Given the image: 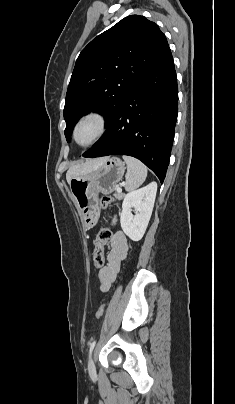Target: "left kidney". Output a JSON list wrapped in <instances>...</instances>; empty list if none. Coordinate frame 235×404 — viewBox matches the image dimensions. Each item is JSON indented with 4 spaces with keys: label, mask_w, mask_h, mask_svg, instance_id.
<instances>
[{
    "label": "left kidney",
    "mask_w": 235,
    "mask_h": 404,
    "mask_svg": "<svg viewBox=\"0 0 235 404\" xmlns=\"http://www.w3.org/2000/svg\"><path fill=\"white\" fill-rule=\"evenodd\" d=\"M157 192V183L129 192L125 195L120 217L121 228L133 241L142 239L154 207ZM135 209L136 215L131 213Z\"/></svg>",
    "instance_id": "left-kidney-1"
}]
</instances>
